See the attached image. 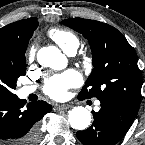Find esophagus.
I'll return each mask as SVG.
<instances>
[{"instance_id":"34e87169","label":"esophagus","mask_w":145,"mask_h":145,"mask_svg":"<svg viewBox=\"0 0 145 145\" xmlns=\"http://www.w3.org/2000/svg\"><path fill=\"white\" fill-rule=\"evenodd\" d=\"M57 110H67L70 108V105L68 104H61L56 106Z\"/></svg>"}]
</instances>
